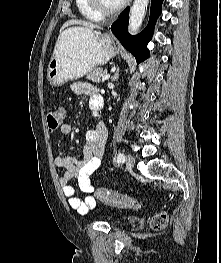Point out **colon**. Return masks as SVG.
<instances>
[{"label":"colon","instance_id":"colon-1","mask_svg":"<svg viewBox=\"0 0 221 263\" xmlns=\"http://www.w3.org/2000/svg\"><path fill=\"white\" fill-rule=\"evenodd\" d=\"M65 118V110L61 106L51 108L47 114V125L50 131L58 129ZM97 198L106 205L125 210H141L143 203L133 197L121 194L109 189L98 188L96 191ZM168 215L166 212H158L151 218V227L160 230L166 226Z\"/></svg>","mask_w":221,"mask_h":263}]
</instances>
